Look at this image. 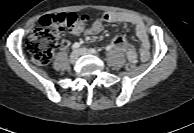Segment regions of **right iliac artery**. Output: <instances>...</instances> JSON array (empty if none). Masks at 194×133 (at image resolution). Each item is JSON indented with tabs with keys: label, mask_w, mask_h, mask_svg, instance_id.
<instances>
[{
	"label": "right iliac artery",
	"mask_w": 194,
	"mask_h": 133,
	"mask_svg": "<svg viewBox=\"0 0 194 133\" xmlns=\"http://www.w3.org/2000/svg\"><path fill=\"white\" fill-rule=\"evenodd\" d=\"M80 47V43H78V42H76V43H74L73 45H72V49L73 50H76V49H78Z\"/></svg>",
	"instance_id": "obj_1"
}]
</instances>
